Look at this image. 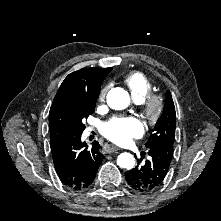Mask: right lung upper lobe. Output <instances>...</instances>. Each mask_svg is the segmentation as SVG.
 I'll return each mask as SVG.
<instances>
[{
	"instance_id": "right-lung-upper-lobe-1",
	"label": "right lung upper lobe",
	"mask_w": 221,
	"mask_h": 221,
	"mask_svg": "<svg viewBox=\"0 0 221 221\" xmlns=\"http://www.w3.org/2000/svg\"><path fill=\"white\" fill-rule=\"evenodd\" d=\"M112 68H88L70 73L61 84L49 112V125L52 136L59 133L61 137H53L50 146L60 140L72 136L68 100L71 97H87L96 100L100 86Z\"/></svg>"
}]
</instances>
